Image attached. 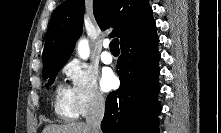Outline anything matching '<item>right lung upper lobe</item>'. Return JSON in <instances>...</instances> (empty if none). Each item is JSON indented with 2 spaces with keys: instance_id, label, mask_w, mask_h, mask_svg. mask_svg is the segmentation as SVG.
Here are the masks:
<instances>
[{
  "instance_id": "right-lung-upper-lobe-1",
  "label": "right lung upper lobe",
  "mask_w": 221,
  "mask_h": 133,
  "mask_svg": "<svg viewBox=\"0 0 221 133\" xmlns=\"http://www.w3.org/2000/svg\"><path fill=\"white\" fill-rule=\"evenodd\" d=\"M84 0H68L54 11L43 50V66L66 62L82 33ZM101 29L115 27L110 35L127 40L156 32L148 0H93Z\"/></svg>"
}]
</instances>
